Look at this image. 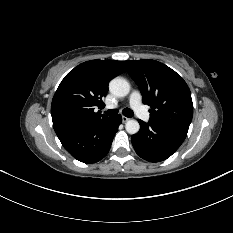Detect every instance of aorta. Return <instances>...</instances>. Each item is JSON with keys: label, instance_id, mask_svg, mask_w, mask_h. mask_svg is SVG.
Listing matches in <instances>:
<instances>
[{"label": "aorta", "instance_id": "obj_1", "mask_svg": "<svg viewBox=\"0 0 233 233\" xmlns=\"http://www.w3.org/2000/svg\"><path fill=\"white\" fill-rule=\"evenodd\" d=\"M109 91L117 97H124L130 92V85L124 78L116 77L110 81ZM125 129L129 134H136L140 130V125L137 120H128Z\"/></svg>", "mask_w": 233, "mask_h": 233}]
</instances>
